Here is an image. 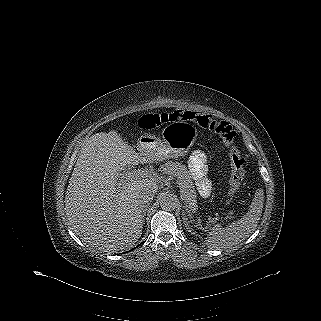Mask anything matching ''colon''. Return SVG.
<instances>
[{"label":"colon","mask_w":321,"mask_h":321,"mask_svg":"<svg viewBox=\"0 0 321 321\" xmlns=\"http://www.w3.org/2000/svg\"><path fill=\"white\" fill-rule=\"evenodd\" d=\"M187 120L197 123L200 127L215 131L221 136L224 144L229 149L230 159L232 161L233 172L230 178L228 196L240 187L244 179L245 159L240 150L235 146L236 132L232 126L225 121H219L211 116L199 114L193 111L175 110L163 113L145 115L140 118L139 126L143 129H154L163 123Z\"/></svg>","instance_id":"1"}]
</instances>
